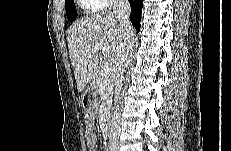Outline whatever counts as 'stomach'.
Returning a JSON list of instances; mask_svg holds the SVG:
<instances>
[{"label": "stomach", "mask_w": 231, "mask_h": 151, "mask_svg": "<svg viewBox=\"0 0 231 151\" xmlns=\"http://www.w3.org/2000/svg\"><path fill=\"white\" fill-rule=\"evenodd\" d=\"M97 92L93 87H89L81 96V105L84 110H92L96 103Z\"/></svg>", "instance_id": "obj_1"}]
</instances>
